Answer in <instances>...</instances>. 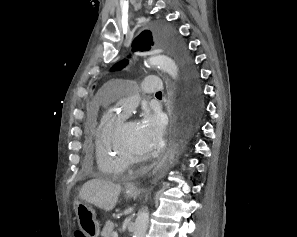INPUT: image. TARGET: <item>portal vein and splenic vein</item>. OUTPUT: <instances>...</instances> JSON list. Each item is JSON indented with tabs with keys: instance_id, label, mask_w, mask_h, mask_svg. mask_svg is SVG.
<instances>
[{
	"instance_id": "obj_1",
	"label": "portal vein and splenic vein",
	"mask_w": 297,
	"mask_h": 237,
	"mask_svg": "<svg viewBox=\"0 0 297 237\" xmlns=\"http://www.w3.org/2000/svg\"><path fill=\"white\" fill-rule=\"evenodd\" d=\"M113 237H118V233L117 232H114L113 233Z\"/></svg>"
}]
</instances>
